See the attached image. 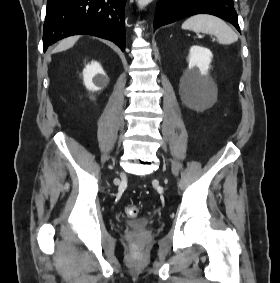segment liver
I'll return each mask as SVG.
<instances>
[{
    "instance_id": "6515ba94",
    "label": "liver",
    "mask_w": 280,
    "mask_h": 283,
    "mask_svg": "<svg viewBox=\"0 0 280 283\" xmlns=\"http://www.w3.org/2000/svg\"><path fill=\"white\" fill-rule=\"evenodd\" d=\"M79 39V36L69 37L67 39H64L59 43V45L54 49V52H60L64 51L66 49H69L72 47L76 41Z\"/></svg>"
}]
</instances>
